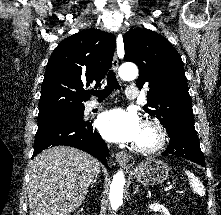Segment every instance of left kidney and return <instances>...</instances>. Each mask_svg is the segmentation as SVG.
Wrapping results in <instances>:
<instances>
[{
    "label": "left kidney",
    "instance_id": "left-kidney-1",
    "mask_svg": "<svg viewBox=\"0 0 221 215\" xmlns=\"http://www.w3.org/2000/svg\"><path fill=\"white\" fill-rule=\"evenodd\" d=\"M149 208L155 212H159L161 215H170L169 211L165 208V206L160 205L158 203L151 204Z\"/></svg>",
    "mask_w": 221,
    "mask_h": 215
}]
</instances>
